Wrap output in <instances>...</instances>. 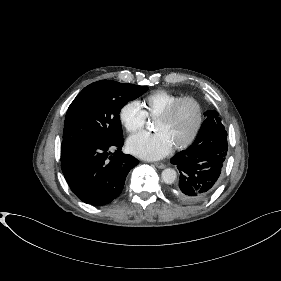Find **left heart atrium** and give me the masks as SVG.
I'll list each match as a JSON object with an SVG mask.
<instances>
[{
	"label": "left heart atrium",
	"mask_w": 281,
	"mask_h": 281,
	"mask_svg": "<svg viewBox=\"0 0 281 281\" xmlns=\"http://www.w3.org/2000/svg\"><path fill=\"white\" fill-rule=\"evenodd\" d=\"M127 148L133 155L146 159L158 160L168 155L173 145L162 132H141L131 136Z\"/></svg>",
	"instance_id": "39dd6f15"
}]
</instances>
